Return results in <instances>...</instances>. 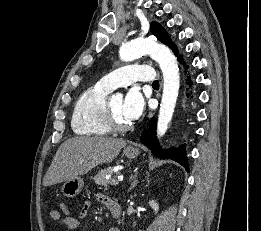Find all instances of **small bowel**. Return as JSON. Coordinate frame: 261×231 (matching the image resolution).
<instances>
[{
  "mask_svg": "<svg viewBox=\"0 0 261 231\" xmlns=\"http://www.w3.org/2000/svg\"><path fill=\"white\" fill-rule=\"evenodd\" d=\"M98 200L107 206V204L109 202H111L112 200L105 196V195H99ZM90 207V202H86L80 212V217H73L69 214V211L66 213H63L61 211V206L59 208H54L50 211V218L57 222L60 226L61 229H65V230H76L79 228L80 226V222H81V218L82 216H84L88 209ZM109 231H120L117 228H111Z\"/></svg>",
  "mask_w": 261,
  "mask_h": 231,
  "instance_id": "c3829d8e",
  "label": "small bowel"
}]
</instances>
